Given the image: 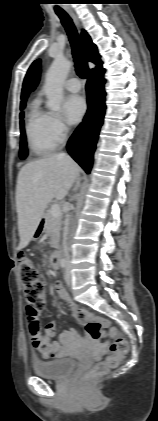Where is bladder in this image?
I'll list each match as a JSON object with an SVG mask.
<instances>
[{
	"label": "bladder",
	"mask_w": 158,
	"mask_h": 421,
	"mask_svg": "<svg viewBox=\"0 0 158 421\" xmlns=\"http://www.w3.org/2000/svg\"><path fill=\"white\" fill-rule=\"evenodd\" d=\"M77 362L71 357H59L53 360H36L33 371L37 376L48 379H63L76 368Z\"/></svg>",
	"instance_id": "1"
}]
</instances>
